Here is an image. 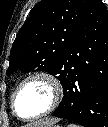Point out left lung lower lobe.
Instances as JSON below:
<instances>
[{
  "label": "left lung lower lobe",
  "mask_w": 108,
  "mask_h": 127,
  "mask_svg": "<svg viewBox=\"0 0 108 127\" xmlns=\"http://www.w3.org/2000/svg\"><path fill=\"white\" fill-rule=\"evenodd\" d=\"M64 97L53 112L85 127H108V11L89 0L65 60Z\"/></svg>",
  "instance_id": "left-lung-lower-lobe-1"
}]
</instances>
